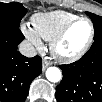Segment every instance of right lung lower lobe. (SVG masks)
Here are the masks:
<instances>
[{"label":"right lung lower lobe","mask_w":102,"mask_h":102,"mask_svg":"<svg viewBox=\"0 0 102 102\" xmlns=\"http://www.w3.org/2000/svg\"><path fill=\"white\" fill-rule=\"evenodd\" d=\"M23 39L19 27L0 26L1 102H24L30 83L42 72L41 57L27 58L17 51V45Z\"/></svg>","instance_id":"1"}]
</instances>
